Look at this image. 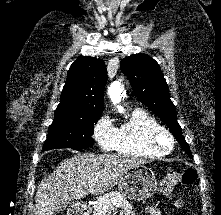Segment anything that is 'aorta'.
<instances>
[{"instance_id": "aorta-1", "label": "aorta", "mask_w": 221, "mask_h": 215, "mask_svg": "<svg viewBox=\"0 0 221 215\" xmlns=\"http://www.w3.org/2000/svg\"><path fill=\"white\" fill-rule=\"evenodd\" d=\"M122 91H123V86L121 85L120 82H114L110 85V87L108 88V94L113 104L116 105L120 103L122 97L121 96ZM117 109L119 113L125 112L124 108L120 105H117Z\"/></svg>"}]
</instances>
